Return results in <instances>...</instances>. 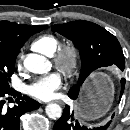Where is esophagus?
<instances>
[{
  "instance_id": "1",
  "label": "esophagus",
  "mask_w": 130,
  "mask_h": 130,
  "mask_svg": "<svg viewBox=\"0 0 130 130\" xmlns=\"http://www.w3.org/2000/svg\"><path fill=\"white\" fill-rule=\"evenodd\" d=\"M54 102L59 104V105H63L64 104L61 100H55Z\"/></svg>"
}]
</instances>
